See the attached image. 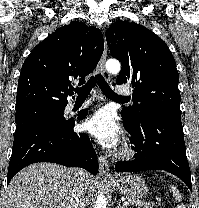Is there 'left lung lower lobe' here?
Listing matches in <instances>:
<instances>
[{
  "instance_id": "obj_1",
  "label": "left lung lower lobe",
  "mask_w": 199,
  "mask_h": 208,
  "mask_svg": "<svg viewBox=\"0 0 199 208\" xmlns=\"http://www.w3.org/2000/svg\"><path fill=\"white\" fill-rule=\"evenodd\" d=\"M123 125L131 134L136 155L133 161L117 163V171L165 170L182 179L192 190L181 114H149L136 126L123 118Z\"/></svg>"
}]
</instances>
